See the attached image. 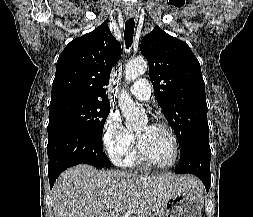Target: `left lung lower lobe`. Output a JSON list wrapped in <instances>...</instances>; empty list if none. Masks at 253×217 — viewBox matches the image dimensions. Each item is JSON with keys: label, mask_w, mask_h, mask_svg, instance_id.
Returning a JSON list of instances; mask_svg holds the SVG:
<instances>
[{"label": "left lung lower lobe", "mask_w": 253, "mask_h": 217, "mask_svg": "<svg viewBox=\"0 0 253 217\" xmlns=\"http://www.w3.org/2000/svg\"><path fill=\"white\" fill-rule=\"evenodd\" d=\"M210 160L211 150L208 137L193 135L186 139L180 150V160L175 173H190L199 177L210 188Z\"/></svg>", "instance_id": "0a47b994"}]
</instances>
